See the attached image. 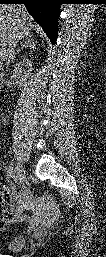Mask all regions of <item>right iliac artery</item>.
<instances>
[{
  "label": "right iliac artery",
  "instance_id": "right-iliac-artery-1",
  "mask_svg": "<svg viewBox=\"0 0 106 257\" xmlns=\"http://www.w3.org/2000/svg\"><path fill=\"white\" fill-rule=\"evenodd\" d=\"M13 176H14V172H13V166H12V164H11V165H9V167H8L7 177H8L9 179H11V178H13Z\"/></svg>",
  "mask_w": 106,
  "mask_h": 257
}]
</instances>
